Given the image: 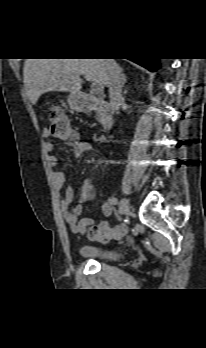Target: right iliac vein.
<instances>
[{
    "instance_id": "right-iliac-vein-1",
    "label": "right iliac vein",
    "mask_w": 206,
    "mask_h": 348,
    "mask_svg": "<svg viewBox=\"0 0 206 348\" xmlns=\"http://www.w3.org/2000/svg\"><path fill=\"white\" fill-rule=\"evenodd\" d=\"M129 211V200L127 198H123L119 205V213L121 215L127 214Z\"/></svg>"
}]
</instances>
